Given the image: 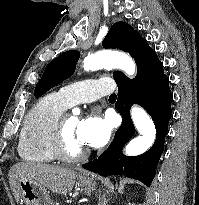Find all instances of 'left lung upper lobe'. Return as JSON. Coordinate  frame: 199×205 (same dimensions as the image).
<instances>
[{"label":"left lung upper lobe","instance_id":"obj_1","mask_svg":"<svg viewBox=\"0 0 199 205\" xmlns=\"http://www.w3.org/2000/svg\"><path fill=\"white\" fill-rule=\"evenodd\" d=\"M139 33L132 26L125 22L115 23L104 38L102 45L104 48L120 49L127 52L132 41ZM80 52L71 50L60 54L52 60L44 70V73L37 83L34 96L40 97L52 87L58 85L70 77L76 68ZM119 71L113 73L114 79L119 75Z\"/></svg>","mask_w":199,"mask_h":205}]
</instances>
